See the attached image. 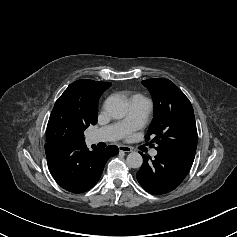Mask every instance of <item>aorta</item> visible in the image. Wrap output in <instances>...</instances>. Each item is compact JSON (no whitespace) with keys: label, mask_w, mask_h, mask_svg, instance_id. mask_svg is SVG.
<instances>
[{"label":"aorta","mask_w":237,"mask_h":237,"mask_svg":"<svg viewBox=\"0 0 237 237\" xmlns=\"http://www.w3.org/2000/svg\"><path fill=\"white\" fill-rule=\"evenodd\" d=\"M105 109L115 119H121L127 114V106L124 100L117 96H110L106 100ZM126 163L130 168H140L143 158L138 152H131L127 156Z\"/></svg>","instance_id":"obj_1"}]
</instances>
